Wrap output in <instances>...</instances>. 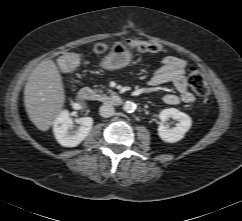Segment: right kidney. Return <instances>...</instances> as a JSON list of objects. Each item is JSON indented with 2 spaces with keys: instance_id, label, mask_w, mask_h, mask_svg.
<instances>
[{
  "instance_id": "ca27d5eb",
  "label": "right kidney",
  "mask_w": 242,
  "mask_h": 221,
  "mask_svg": "<svg viewBox=\"0 0 242 221\" xmlns=\"http://www.w3.org/2000/svg\"><path fill=\"white\" fill-rule=\"evenodd\" d=\"M80 126L72 130V119L67 110L59 113L54 121V135L60 145L64 147H75L79 145L89 134L93 119L91 117H82L75 120Z\"/></svg>"
}]
</instances>
